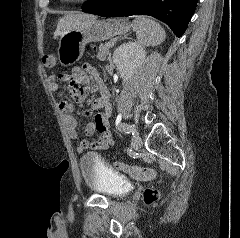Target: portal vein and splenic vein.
<instances>
[{"label":"portal vein and splenic vein","instance_id":"18ae733b","mask_svg":"<svg viewBox=\"0 0 240 238\" xmlns=\"http://www.w3.org/2000/svg\"><path fill=\"white\" fill-rule=\"evenodd\" d=\"M113 46H114V42H113V41L108 43V47H109V48H111V47H113Z\"/></svg>","mask_w":240,"mask_h":238}]
</instances>
